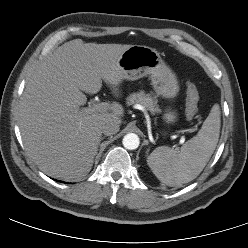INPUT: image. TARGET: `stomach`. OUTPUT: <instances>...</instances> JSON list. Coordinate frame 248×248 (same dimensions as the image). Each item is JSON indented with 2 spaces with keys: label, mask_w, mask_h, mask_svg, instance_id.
<instances>
[{
  "label": "stomach",
  "mask_w": 248,
  "mask_h": 248,
  "mask_svg": "<svg viewBox=\"0 0 248 248\" xmlns=\"http://www.w3.org/2000/svg\"><path fill=\"white\" fill-rule=\"evenodd\" d=\"M118 65L123 72V79L134 81L150 75L154 91L166 99L175 98L179 92L175 73L166 65L158 51L151 47L132 45L120 56ZM163 117L166 122L173 123L177 114L168 109Z\"/></svg>",
  "instance_id": "stomach-1"
}]
</instances>
